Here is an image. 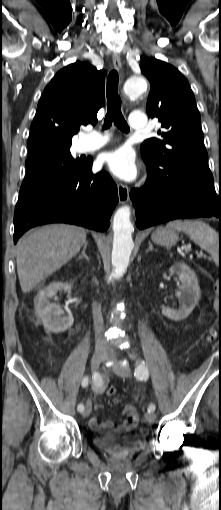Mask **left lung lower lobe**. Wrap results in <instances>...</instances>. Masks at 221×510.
<instances>
[{"label": "left lung lower lobe", "mask_w": 221, "mask_h": 510, "mask_svg": "<svg viewBox=\"0 0 221 510\" xmlns=\"http://www.w3.org/2000/svg\"><path fill=\"white\" fill-rule=\"evenodd\" d=\"M144 161L148 179L143 187L130 192L138 228L183 218L215 216L221 221V191L216 193L214 186L198 183L163 186Z\"/></svg>", "instance_id": "1"}]
</instances>
